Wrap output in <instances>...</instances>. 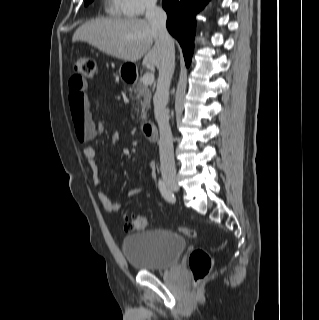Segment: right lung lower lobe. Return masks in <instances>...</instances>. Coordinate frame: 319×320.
<instances>
[{"instance_id": "obj_1", "label": "right lung lower lobe", "mask_w": 319, "mask_h": 320, "mask_svg": "<svg viewBox=\"0 0 319 320\" xmlns=\"http://www.w3.org/2000/svg\"><path fill=\"white\" fill-rule=\"evenodd\" d=\"M208 2L209 0H162V6L167 12V29L179 41L187 66L193 54L195 15Z\"/></svg>"}]
</instances>
